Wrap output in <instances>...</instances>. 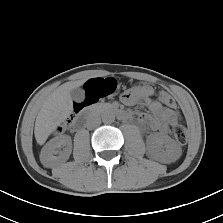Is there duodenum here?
Returning a JSON list of instances; mask_svg holds the SVG:
<instances>
[{
    "mask_svg": "<svg viewBox=\"0 0 223 223\" xmlns=\"http://www.w3.org/2000/svg\"><path fill=\"white\" fill-rule=\"evenodd\" d=\"M107 109H111L112 111H114L116 113V115L123 120L129 119L128 113H126L124 110L118 108L117 106H110V107H107ZM91 115H92V113H89L86 116L79 117L75 121L74 127L77 129L82 128L90 120Z\"/></svg>",
    "mask_w": 223,
    "mask_h": 223,
    "instance_id": "410a0bca",
    "label": "duodenum"
}]
</instances>
